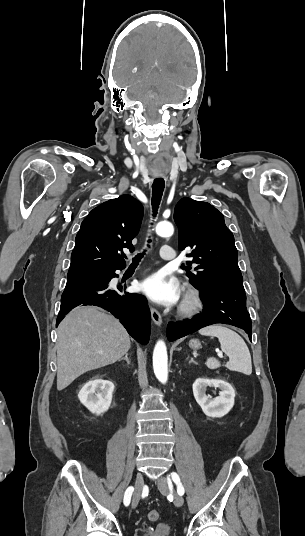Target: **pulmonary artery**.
<instances>
[{
	"label": "pulmonary artery",
	"mask_w": 305,
	"mask_h": 536,
	"mask_svg": "<svg viewBox=\"0 0 305 536\" xmlns=\"http://www.w3.org/2000/svg\"><path fill=\"white\" fill-rule=\"evenodd\" d=\"M160 251H161L160 257H161L162 260L168 261L170 263L175 262L176 257H175V255L172 254L171 251H173V248H171L170 245H168V244L162 245L161 248H160Z\"/></svg>",
	"instance_id": "1"
}]
</instances>
